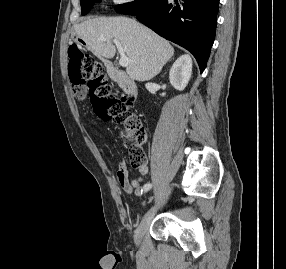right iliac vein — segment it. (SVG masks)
Listing matches in <instances>:
<instances>
[{
  "mask_svg": "<svg viewBox=\"0 0 286 269\" xmlns=\"http://www.w3.org/2000/svg\"><path fill=\"white\" fill-rule=\"evenodd\" d=\"M156 207H152L150 208L146 213L145 215L143 216L139 226L137 227L136 229V232H135V236H134V240H135V243L136 245H139L141 240H142V237L144 235V233L146 232V230L148 229V226L152 220V218L154 217V214L156 212Z\"/></svg>",
  "mask_w": 286,
  "mask_h": 269,
  "instance_id": "right-iliac-vein-1",
  "label": "right iliac vein"
}]
</instances>
